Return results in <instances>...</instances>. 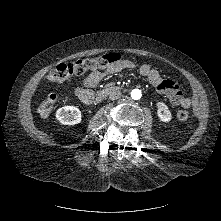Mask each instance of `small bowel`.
Listing matches in <instances>:
<instances>
[{
    "label": "small bowel",
    "mask_w": 221,
    "mask_h": 221,
    "mask_svg": "<svg viewBox=\"0 0 221 221\" xmlns=\"http://www.w3.org/2000/svg\"><path fill=\"white\" fill-rule=\"evenodd\" d=\"M133 67L132 62L124 60L110 66L106 72L92 71L83 79L82 86L76 89V95L87 103L94 96L91 88L95 87L106 73L119 72ZM139 73L150 82L157 93L165 94L173 105L185 109L191 106V101L184 97L180 87L174 81L164 79L156 69L144 64L139 67Z\"/></svg>",
    "instance_id": "c3829d8e"
}]
</instances>
